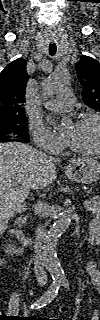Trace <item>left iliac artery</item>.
Segmentation results:
<instances>
[{
  "label": "left iliac artery",
  "mask_w": 100,
  "mask_h": 320,
  "mask_svg": "<svg viewBox=\"0 0 100 320\" xmlns=\"http://www.w3.org/2000/svg\"><path fill=\"white\" fill-rule=\"evenodd\" d=\"M62 285L65 287V288H68L69 289V282L67 279H63L62 281Z\"/></svg>",
  "instance_id": "1"
}]
</instances>
